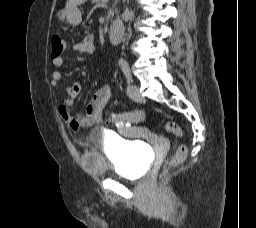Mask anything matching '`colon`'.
Returning <instances> with one entry per match:
<instances>
[{
    "mask_svg": "<svg viewBox=\"0 0 256 228\" xmlns=\"http://www.w3.org/2000/svg\"><path fill=\"white\" fill-rule=\"evenodd\" d=\"M65 47L64 40L59 36L55 35L52 38V55H58L63 52ZM144 120V113L141 110H135L129 113H119L111 116V121L116 126H123L129 124H137ZM166 130L177 137H182L183 132L178 124L169 122L165 126ZM188 148L185 144H180L173 156L169 161V167H176L180 165L186 158Z\"/></svg>",
    "mask_w": 256,
    "mask_h": 228,
    "instance_id": "obj_1",
    "label": "colon"
}]
</instances>
